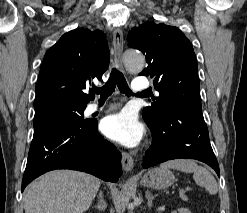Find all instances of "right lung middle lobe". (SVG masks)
I'll return each instance as SVG.
<instances>
[{
	"label": "right lung middle lobe",
	"mask_w": 247,
	"mask_h": 213,
	"mask_svg": "<svg viewBox=\"0 0 247 213\" xmlns=\"http://www.w3.org/2000/svg\"><path fill=\"white\" fill-rule=\"evenodd\" d=\"M87 104H81L70 100H55L44 106L35 109L33 125L38 120L62 119L78 124H88L89 120H84L83 111Z\"/></svg>",
	"instance_id": "1"
}]
</instances>
